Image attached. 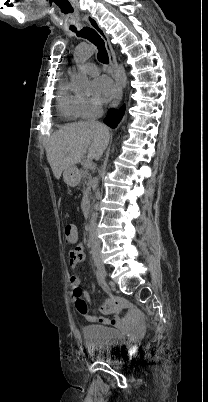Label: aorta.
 Here are the masks:
<instances>
[{"label":"aorta","instance_id":"aorta-1","mask_svg":"<svg viewBox=\"0 0 208 402\" xmlns=\"http://www.w3.org/2000/svg\"><path fill=\"white\" fill-rule=\"evenodd\" d=\"M116 76L119 78V82L122 86V88H126L127 86V76L125 72V68L123 64H118L116 68ZM111 152H114V148H112Z\"/></svg>","mask_w":208,"mask_h":402}]
</instances>
